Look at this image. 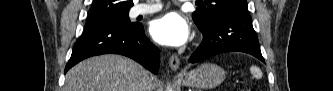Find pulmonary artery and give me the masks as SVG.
<instances>
[{
	"label": "pulmonary artery",
	"mask_w": 333,
	"mask_h": 91,
	"mask_svg": "<svg viewBox=\"0 0 333 91\" xmlns=\"http://www.w3.org/2000/svg\"><path fill=\"white\" fill-rule=\"evenodd\" d=\"M161 9V5H146L140 4L137 5L134 12L136 15H149L158 12Z\"/></svg>",
	"instance_id": "obj_1"
}]
</instances>
